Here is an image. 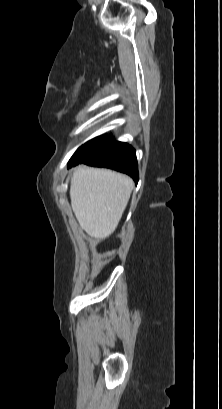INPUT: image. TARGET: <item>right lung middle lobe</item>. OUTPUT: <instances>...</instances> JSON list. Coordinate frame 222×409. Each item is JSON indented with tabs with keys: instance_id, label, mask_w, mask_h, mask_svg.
<instances>
[{
	"instance_id": "right-lung-middle-lobe-1",
	"label": "right lung middle lobe",
	"mask_w": 222,
	"mask_h": 409,
	"mask_svg": "<svg viewBox=\"0 0 222 409\" xmlns=\"http://www.w3.org/2000/svg\"><path fill=\"white\" fill-rule=\"evenodd\" d=\"M109 137H96L82 145L70 159V163L82 162L99 152L106 144Z\"/></svg>"
}]
</instances>
